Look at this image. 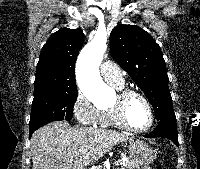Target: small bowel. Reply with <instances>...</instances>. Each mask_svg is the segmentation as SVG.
<instances>
[{"label": "small bowel", "mask_w": 200, "mask_h": 169, "mask_svg": "<svg viewBox=\"0 0 200 169\" xmlns=\"http://www.w3.org/2000/svg\"><path fill=\"white\" fill-rule=\"evenodd\" d=\"M142 169H150V168L145 167V168H142Z\"/></svg>", "instance_id": "c3829d8e"}]
</instances>
